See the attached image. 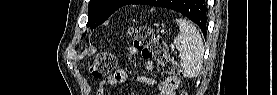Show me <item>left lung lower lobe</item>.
Wrapping results in <instances>:
<instances>
[{
  "mask_svg": "<svg viewBox=\"0 0 277 95\" xmlns=\"http://www.w3.org/2000/svg\"><path fill=\"white\" fill-rule=\"evenodd\" d=\"M172 0H133L130 4H145L156 6V4H164L165 8L173 9L181 14L185 15L192 21H194L200 29L203 31L204 36L206 34V8L204 0H176L171 5Z\"/></svg>",
  "mask_w": 277,
  "mask_h": 95,
  "instance_id": "obj_1",
  "label": "left lung lower lobe"
}]
</instances>
